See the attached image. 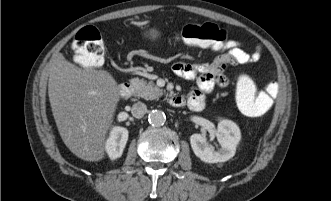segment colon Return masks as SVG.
<instances>
[{
  "label": "colon",
  "mask_w": 331,
  "mask_h": 201,
  "mask_svg": "<svg viewBox=\"0 0 331 201\" xmlns=\"http://www.w3.org/2000/svg\"><path fill=\"white\" fill-rule=\"evenodd\" d=\"M185 44L221 50L227 40L224 29L213 23L186 25L176 33ZM76 61L87 69L98 68L104 63V43L98 30L92 26L81 29L73 42ZM278 94L276 82L260 90L249 76H240L235 86L239 109L246 115L257 117L267 113Z\"/></svg>",
  "instance_id": "1"
}]
</instances>
